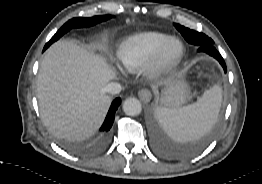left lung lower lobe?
Here are the masks:
<instances>
[{"label":"left lung lower lobe","mask_w":262,"mask_h":184,"mask_svg":"<svg viewBox=\"0 0 262 184\" xmlns=\"http://www.w3.org/2000/svg\"><path fill=\"white\" fill-rule=\"evenodd\" d=\"M198 51L206 52L219 61L224 72H227L226 64L213 44L199 46ZM149 134L153 149L167 159L185 160L202 152L209 138H195L191 140L177 141L167 133L157 114H151L149 120Z\"/></svg>","instance_id":"obj_1"}]
</instances>
